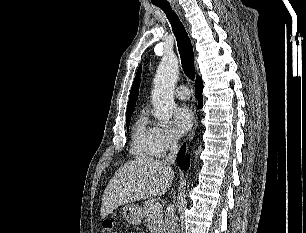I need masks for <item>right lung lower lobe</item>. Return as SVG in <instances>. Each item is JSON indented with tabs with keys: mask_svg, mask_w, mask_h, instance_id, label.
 <instances>
[{
	"mask_svg": "<svg viewBox=\"0 0 306 233\" xmlns=\"http://www.w3.org/2000/svg\"><path fill=\"white\" fill-rule=\"evenodd\" d=\"M202 90H203L202 80L200 77H197L196 82H195V94L199 101L200 107L202 104ZM185 150L186 149H185V144H184L177 155V163L182 169L187 170L189 168L190 161H189V156H186V157L184 156Z\"/></svg>",
	"mask_w": 306,
	"mask_h": 233,
	"instance_id": "right-lung-lower-lobe-1",
	"label": "right lung lower lobe"
}]
</instances>
